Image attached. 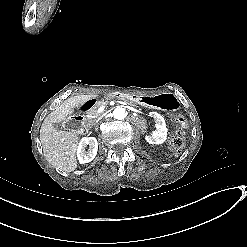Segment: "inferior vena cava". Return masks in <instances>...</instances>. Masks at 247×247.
Segmentation results:
<instances>
[{"label": "inferior vena cava", "mask_w": 247, "mask_h": 247, "mask_svg": "<svg viewBox=\"0 0 247 247\" xmlns=\"http://www.w3.org/2000/svg\"><path fill=\"white\" fill-rule=\"evenodd\" d=\"M103 118V116L102 117H99L98 119H97V122L99 121V120H101Z\"/></svg>", "instance_id": "1"}]
</instances>
